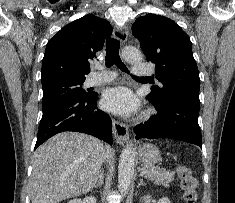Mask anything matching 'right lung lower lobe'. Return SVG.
I'll return each instance as SVG.
<instances>
[{
    "label": "right lung lower lobe",
    "instance_id": "98d812e1",
    "mask_svg": "<svg viewBox=\"0 0 235 203\" xmlns=\"http://www.w3.org/2000/svg\"><path fill=\"white\" fill-rule=\"evenodd\" d=\"M97 97V93L68 96L43 105L35 149L63 131L90 134L112 145V122L108 114L97 109Z\"/></svg>",
    "mask_w": 235,
    "mask_h": 203
}]
</instances>
